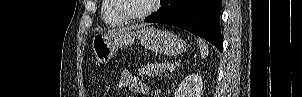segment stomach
I'll return each mask as SVG.
<instances>
[{
    "label": "stomach",
    "mask_w": 302,
    "mask_h": 97,
    "mask_svg": "<svg viewBox=\"0 0 302 97\" xmlns=\"http://www.w3.org/2000/svg\"><path fill=\"white\" fill-rule=\"evenodd\" d=\"M139 41L150 51L168 57L182 54L186 50V43L177 35L162 31L155 27L127 29L108 34H96L92 39V50L98 63H107L116 51Z\"/></svg>",
    "instance_id": "1"
}]
</instances>
